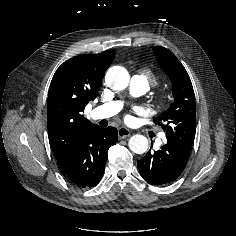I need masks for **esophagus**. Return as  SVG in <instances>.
Wrapping results in <instances>:
<instances>
[{"label": "esophagus", "mask_w": 236, "mask_h": 236, "mask_svg": "<svg viewBox=\"0 0 236 236\" xmlns=\"http://www.w3.org/2000/svg\"><path fill=\"white\" fill-rule=\"evenodd\" d=\"M130 130L125 128V127H120L118 129V136L119 138H126V137H129L130 136Z\"/></svg>", "instance_id": "esophagus-1"}]
</instances>
